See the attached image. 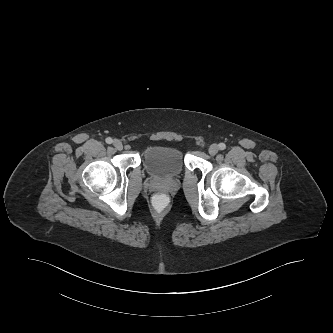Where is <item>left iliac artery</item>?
Wrapping results in <instances>:
<instances>
[{
    "instance_id": "1",
    "label": "left iliac artery",
    "mask_w": 333,
    "mask_h": 333,
    "mask_svg": "<svg viewBox=\"0 0 333 333\" xmlns=\"http://www.w3.org/2000/svg\"><path fill=\"white\" fill-rule=\"evenodd\" d=\"M226 148V145L224 143L219 144V149L224 150Z\"/></svg>"
}]
</instances>
